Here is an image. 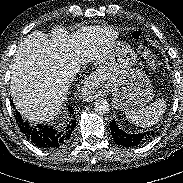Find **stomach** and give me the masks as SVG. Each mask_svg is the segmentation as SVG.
Returning <instances> with one entry per match:
<instances>
[{
  "label": "stomach",
  "mask_w": 183,
  "mask_h": 183,
  "mask_svg": "<svg viewBox=\"0 0 183 183\" xmlns=\"http://www.w3.org/2000/svg\"><path fill=\"white\" fill-rule=\"evenodd\" d=\"M136 63L131 46L117 41L97 69L98 84L112 92L117 109H140L153 98L151 81L144 71L135 67Z\"/></svg>",
  "instance_id": "stomach-1"
}]
</instances>
